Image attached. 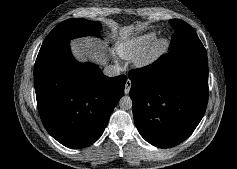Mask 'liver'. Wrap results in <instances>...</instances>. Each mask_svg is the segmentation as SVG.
<instances>
[{
    "instance_id": "obj_1",
    "label": "liver",
    "mask_w": 237,
    "mask_h": 169,
    "mask_svg": "<svg viewBox=\"0 0 237 169\" xmlns=\"http://www.w3.org/2000/svg\"><path fill=\"white\" fill-rule=\"evenodd\" d=\"M105 46L95 38L85 37L74 39L71 42V49L74 57L80 62L91 61L100 66L107 63L104 58L103 49Z\"/></svg>"
}]
</instances>
